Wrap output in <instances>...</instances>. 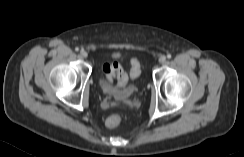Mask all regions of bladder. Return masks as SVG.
Here are the masks:
<instances>
[{
  "instance_id": "31cf9c89",
  "label": "bladder",
  "mask_w": 244,
  "mask_h": 157,
  "mask_svg": "<svg viewBox=\"0 0 244 157\" xmlns=\"http://www.w3.org/2000/svg\"><path fill=\"white\" fill-rule=\"evenodd\" d=\"M99 83L101 90L108 95L125 98L132 92L131 88L122 91L117 90L114 86L110 85L103 77L100 78Z\"/></svg>"
}]
</instances>
